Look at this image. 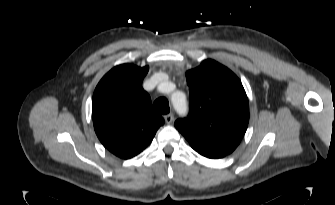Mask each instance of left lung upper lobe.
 Masks as SVG:
<instances>
[{
	"label": "left lung upper lobe",
	"mask_w": 335,
	"mask_h": 205,
	"mask_svg": "<svg viewBox=\"0 0 335 205\" xmlns=\"http://www.w3.org/2000/svg\"><path fill=\"white\" fill-rule=\"evenodd\" d=\"M190 95L187 118L175 127L192 148L227 155L243 138L249 121V104L238 77L214 60H204L186 72Z\"/></svg>",
	"instance_id": "left-lung-upper-lobe-1"
}]
</instances>
